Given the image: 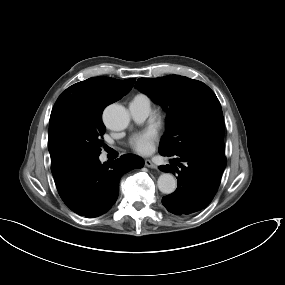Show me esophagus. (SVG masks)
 <instances>
[{
    "mask_svg": "<svg viewBox=\"0 0 285 285\" xmlns=\"http://www.w3.org/2000/svg\"><path fill=\"white\" fill-rule=\"evenodd\" d=\"M145 166L149 167V168H157V165L155 163H153L151 160L146 159L145 160Z\"/></svg>",
    "mask_w": 285,
    "mask_h": 285,
    "instance_id": "1",
    "label": "esophagus"
}]
</instances>
